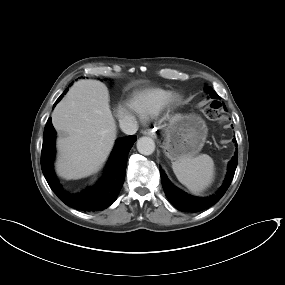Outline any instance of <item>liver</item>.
I'll list each match as a JSON object with an SVG mask.
<instances>
[{
    "mask_svg": "<svg viewBox=\"0 0 285 285\" xmlns=\"http://www.w3.org/2000/svg\"><path fill=\"white\" fill-rule=\"evenodd\" d=\"M125 114L119 109L120 118ZM52 123L57 131L66 134L57 140L58 174L70 180L98 171L112 150L117 133L107 87L97 80L77 81L56 105Z\"/></svg>",
    "mask_w": 285,
    "mask_h": 285,
    "instance_id": "liver-1",
    "label": "liver"
}]
</instances>
